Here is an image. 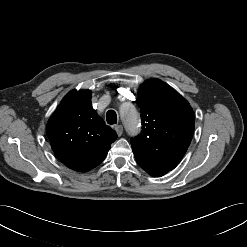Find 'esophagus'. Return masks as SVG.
Wrapping results in <instances>:
<instances>
[{
	"mask_svg": "<svg viewBox=\"0 0 247 247\" xmlns=\"http://www.w3.org/2000/svg\"><path fill=\"white\" fill-rule=\"evenodd\" d=\"M114 130L116 131L118 136H121L123 133V127L122 125H115L114 126Z\"/></svg>",
	"mask_w": 247,
	"mask_h": 247,
	"instance_id": "34e87169",
	"label": "esophagus"
}]
</instances>
